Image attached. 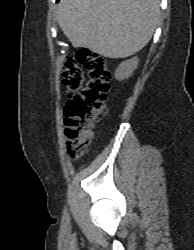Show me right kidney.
I'll use <instances>...</instances> for the list:
<instances>
[{"mask_svg":"<svg viewBox=\"0 0 194 250\" xmlns=\"http://www.w3.org/2000/svg\"><path fill=\"white\" fill-rule=\"evenodd\" d=\"M138 66V58L134 57L130 60L122 62L119 67L115 71V78L118 81H122L124 79H128L133 71L137 68Z\"/></svg>","mask_w":194,"mask_h":250,"instance_id":"right-kidney-1","label":"right kidney"}]
</instances>
